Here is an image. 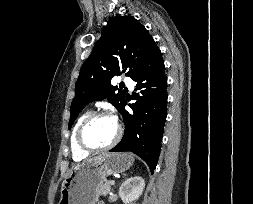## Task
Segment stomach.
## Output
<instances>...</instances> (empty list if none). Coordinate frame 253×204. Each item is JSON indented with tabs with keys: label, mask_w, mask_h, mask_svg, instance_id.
Masks as SVG:
<instances>
[{
	"label": "stomach",
	"mask_w": 253,
	"mask_h": 204,
	"mask_svg": "<svg viewBox=\"0 0 253 204\" xmlns=\"http://www.w3.org/2000/svg\"><path fill=\"white\" fill-rule=\"evenodd\" d=\"M133 157L125 153H104L74 167L65 177L59 204H96L97 187L106 177L129 169Z\"/></svg>",
	"instance_id": "1"
}]
</instances>
